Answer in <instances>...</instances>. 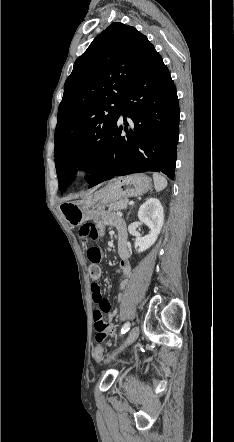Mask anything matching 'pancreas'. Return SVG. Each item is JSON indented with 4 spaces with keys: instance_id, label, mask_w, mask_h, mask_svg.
<instances>
[{
    "instance_id": "pancreas-1",
    "label": "pancreas",
    "mask_w": 234,
    "mask_h": 442,
    "mask_svg": "<svg viewBox=\"0 0 234 442\" xmlns=\"http://www.w3.org/2000/svg\"><path fill=\"white\" fill-rule=\"evenodd\" d=\"M128 202H129L128 199H121L118 201H114L111 204H109L108 212L124 210L127 208Z\"/></svg>"
}]
</instances>
